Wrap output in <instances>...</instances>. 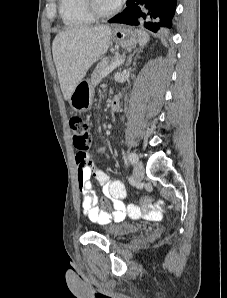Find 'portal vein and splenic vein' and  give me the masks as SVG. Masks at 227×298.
I'll use <instances>...</instances> for the list:
<instances>
[{
	"label": "portal vein and splenic vein",
	"mask_w": 227,
	"mask_h": 298,
	"mask_svg": "<svg viewBox=\"0 0 227 298\" xmlns=\"http://www.w3.org/2000/svg\"><path fill=\"white\" fill-rule=\"evenodd\" d=\"M125 60V57L120 56L119 58L115 59L104 71L102 78L109 75L114 69L120 66Z\"/></svg>",
	"instance_id": "18ae733b"
}]
</instances>
